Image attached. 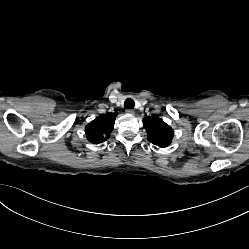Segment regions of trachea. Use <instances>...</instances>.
<instances>
[{
	"label": "trachea",
	"instance_id": "trachea-1",
	"mask_svg": "<svg viewBox=\"0 0 249 249\" xmlns=\"http://www.w3.org/2000/svg\"><path fill=\"white\" fill-rule=\"evenodd\" d=\"M134 106H135V102L132 99L128 98V99L125 100V102H124V107L125 108L133 109Z\"/></svg>",
	"mask_w": 249,
	"mask_h": 249
}]
</instances>
